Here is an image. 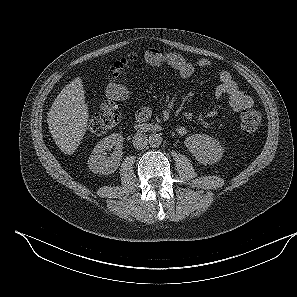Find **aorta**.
<instances>
[{
    "label": "aorta",
    "instance_id": "1",
    "mask_svg": "<svg viewBox=\"0 0 297 297\" xmlns=\"http://www.w3.org/2000/svg\"><path fill=\"white\" fill-rule=\"evenodd\" d=\"M148 143L152 147H158L162 143V137L160 134H151L148 138Z\"/></svg>",
    "mask_w": 297,
    "mask_h": 297
}]
</instances>
